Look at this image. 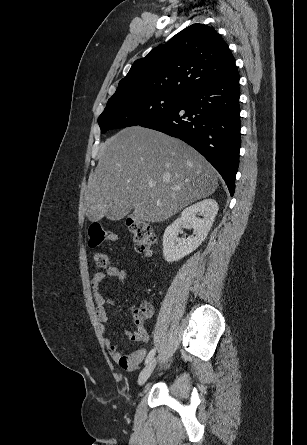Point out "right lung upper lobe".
Wrapping results in <instances>:
<instances>
[{
  "label": "right lung upper lobe",
  "mask_w": 307,
  "mask_h": 445,
  "mask_svg": "<svg viewBox=\"0 0 307 445\" xmlns=\"http://www.w3.org/2000/svg\"><path fill=\"white\" fill-rule=\"evenodd\" d=\"M234 67V57L220 35L212 27L193 24L136 60L113 96H185Z\"/></svg>",
  "instance_id": "right-lung-upper-lobe-1"
}]
</instances>
